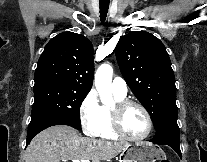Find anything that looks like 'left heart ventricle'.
<instances>
[{
	"label": "left heart ventricle",
	"mask_w": 207,
	"mask_h": 162,
	"mask_svg": "<svg viewBox=\"0 0 207 162\" xmlns=\"http://www.w3.org/2000/svg\"><path fill=\"white\" fill-rule=\"evenodd\" d=\"M123 131L133 137L142 135L147 128V121L144 113L137 107L128 108L122 115Z\"/></svg>",
	"instance_id": "left-heart-ventricle-1"
}]
</instances>
